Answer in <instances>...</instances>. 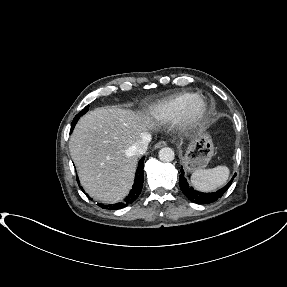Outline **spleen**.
I'll use <instances>...</instances> for the list:
<instances>
[{"mask_svg": "<svg viewBox=\"0 0 287 287\" xmlns=\"http://www.w3.org/2000/svg\"><path fill=\"white\" fill-rule=\"evenodd\" d=\"M229 173L226 166L197 170L191 175V183L199 191H214L227 182Z\"/></svg>", "mask_w": 287, "mask_h": 287, "instance_id": "obj_1", "label": "spleen"}]
</instances>
